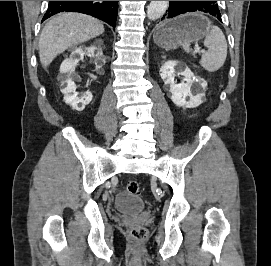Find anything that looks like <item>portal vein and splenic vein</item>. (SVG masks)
I'll list each match as a JSON object with an SVG mask.
<instances>
[{"label": "portal vein and splenic vein", "instance_id": "portal-vein-and-splenic-vein-1", "mask_svg": "<svg viewBox=\"0 0 271 266\" xmlns=\"http://www.w3.org/2000/svg\"><path fill=\"white\" fill-rule=\"evenodd\" d=\"M200 52H201V53H206L205 50H200V47H199V46H196L194 53H200Z\"/></svg>", "mask_w": 271, "mask_h": 266}]
</instances>
